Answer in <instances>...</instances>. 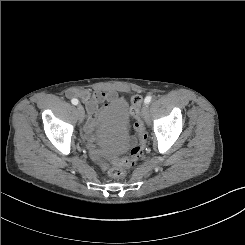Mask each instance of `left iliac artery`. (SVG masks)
Instances as JSON below:
<instances>
[{"label":"left iliac artery","mask_w":245,"mask_h":245,"mask_svg":"<svg viewBox=\"0 0 245 245\" xmlns=\"http://www.w3.org/2000/svg\"><path fill=\"white\" fill-rule=\"evenodd\" d=\"M151 100H152V97H151V96H147V97L145 98V100H144V103H145V104H149V103L151 102Z\"/></svg>","instance_id":"obj_1"}]
</instances>
